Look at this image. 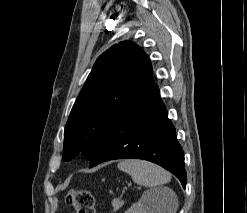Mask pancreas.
Segmentation results:
<instances>
[{"label": "pancreas", "mask_w": 247, "mask_h": 213, "mask_svg": "<svg viewBox=\"0 0 247 213\" xmlns=\"http://www.w3.org/2000/svg\"><path fill=\"white\" fill-rule=\"evenodd\" d=\"M123 204H124V201L120 200L119 198H115L112 201V205H113L114 210H118Z\"/></svg>", "instance_id": "obj_1"}]
</instances>
